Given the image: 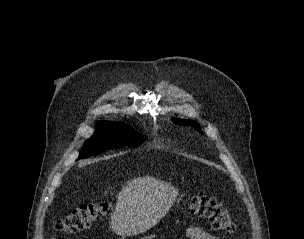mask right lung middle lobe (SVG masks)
<instances>
[{
  "instance_id": "obj_1",
  "label": "right lung middle lobe",
  "mask_w": 304,
  "mask_h": 239,
  "mask_svg": "<svg viewBox=\"0 0 304 239\" xmlns=\"http://www.w3.org/2000/svg\"><path fill=\"white\" fill-rule=\"evenodd\" d=\"M146 139V136L136 133L123 123L100 121L96 125L95 134L84 143L77 160L126 145L136 147Z\"/></svg>"
}]
</instances>
